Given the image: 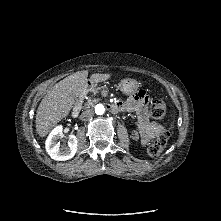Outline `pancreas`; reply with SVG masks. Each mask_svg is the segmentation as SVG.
Here are the masks:
<instances>
[{
	"instance_id": "1",
	"label": "pancreas",
	"mask_w": 221,
	"mask_h": 221,
	"mask_svg": "<svg viewBox=\"0 0 221 221\" xmlns=\"http://www.w3.org/2000/svg\"><path fill=\"white\" fill-rule=\"evenodd\" d=\"M98 100L97 96H91L88 100V102L86 103V106H93L94 103H96Z\"/></svg>"
}]
</instances>
